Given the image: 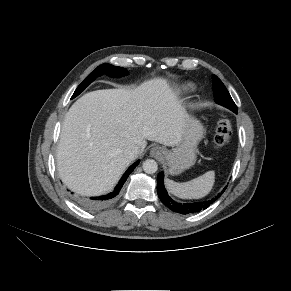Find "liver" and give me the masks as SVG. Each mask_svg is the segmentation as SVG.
<instances>
[{"label": "liver", "instance_id": "obj_1", "mask_svg": "<svg viewBox=\"0 0 291 291\" xmlns=\"http://www.w3.org/2000/svg\"><path fill=\"white\" fill-rule=\"evenodd\" d=\"M187 119L165 79L146 81L134 89L89 92L65 115L57 150L60 178L77 193H105L135 159L125 156L128 146L137 145L138 155L147 140L175 146Z\"/></svg>", "mask_w": 291, "mask_h": 291}]
</instances>
